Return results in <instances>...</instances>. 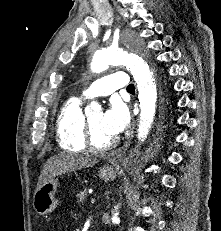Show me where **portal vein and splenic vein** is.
<instances>
[{
	"label": "portal vein and splenic vein",
	"mask_w": 221,
	"mask_h": 231,
	"mask_svg": "<svg viewBox=\"0 0 221 231\" xmlns=\"http://www.w3.org/2000/svg\"><path fill=\"white\" fill-rule=\"evenodd\" d=\"M90 202H91L92 204H94V203L96 202V198H95V197H91V198H90Z\"/></svg>",
	"instance_id": "obj_1"
}]
</instances>
